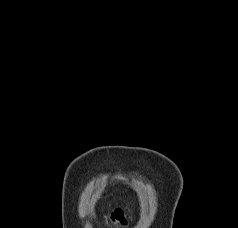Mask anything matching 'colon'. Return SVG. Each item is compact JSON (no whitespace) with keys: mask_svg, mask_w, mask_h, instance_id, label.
I'll list each match as a JSON object with an SVG mask.
<instances>
[{"mask_svg":"<svg viewBox=\"0 0 238 228\" xmlns=\"http://www.w3.org/2000/svg\"><path fill=\"white\" fill-rule=\"evenodd\" d=\"M109 220L113 223H126L125 211L121 208L115 209L109 216Z\"/></svg>","mask_w":238,"mask_h":228,"instance_id":"1","label":"colon"}]
</instances>
